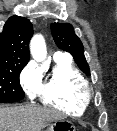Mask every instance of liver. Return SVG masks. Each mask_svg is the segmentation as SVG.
Listing matches in <instances>:
<instances>
[{
  "instance_id": "6515ba94",
  "label": "liver",
  "mask_w": 117,
  "mask_h": 131,
  "mask_svg": "<svg viewBox=\"0 0 117 131\" xmlns=\"http://www.w3.org/2000/svg\"><path fill=\"white\" fill-rule=\"evenodd\" d=\"M64 119L55 109L35 106H0V131H41L49 123Z\"/></svg>"
}]
</instances>
